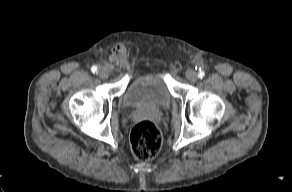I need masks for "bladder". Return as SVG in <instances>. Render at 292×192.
Listing matches in <instances>:
<instances>
[{"label": "bladder", "mask_w": 292, "mask_h": 192, "mask_svg": "<svg viewBox=\"0 0 292 192\" xmlns=\"http://www.w3.org/2000/svg\"><path fill=\"white\" fill-rule=\"evenodd\" d=\"M173 96L160 72L134 77L122 95L125 109H167Z\"/></svg>", "instance_id": "1"}]
</instances>
